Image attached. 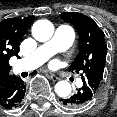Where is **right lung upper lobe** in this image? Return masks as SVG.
I'll return each mask as SVG.
<instances>
[{"mask_svg": "<svg viewBox=\"0 0 117 117\" xmlns=\"http://www.w3.org/2000/svg\"><path fill=\"white\" fill-rule=\"evenodd\" d=\"M33 19L34 16H28L24 19L8 18L0 22V89L12 77L9 73V59L18 55L20 41Z\"/></svg>", "mask_w": 117, "mask_h": 117, "instance_id": "obj_1", "label": "right lung upper lobe"}]
</instances>
